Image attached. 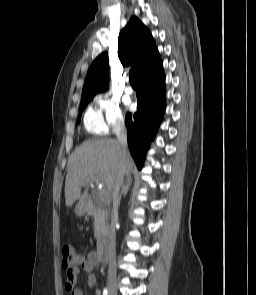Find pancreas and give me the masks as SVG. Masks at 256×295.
Wrapping results in <instances>:
<instances>
[{"instance_id": "pancreas-1", "label": "pancreas", "mask_w": 256, "mask_h": 295, "mask_svg": "<svg viewBox=\"0 0 256 295\" xmlns=\"http://www.w3.org/2000/svg\"><path fill=\"white\" fill-rule=\"evenodd\" d=\"M94 218V236L99 242L108 232L107 214L102 209L93 211Z\"/></svg>"}]
</instances>
